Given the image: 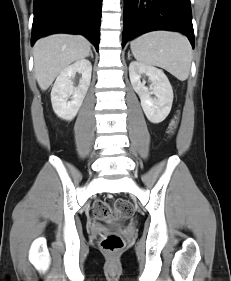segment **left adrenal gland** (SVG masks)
Segmentation results:
<instances>
[{
	"label": "left adrenal gland",
	"mask_w": 231,
	"mask_h": 281,
	"mask_svg": "<svg viewBox=\"0 0 231 281\" xmlns=\"http://www.w3.org/2000/svg\"><path fill=\"white\" fill-rule=\"evenodd\" d=\"M130 56H131V55H130V51H128V59H130Z\"/></svg>",
	"instance_id": "left-adrenal-gland-1"
}]
</instances>
